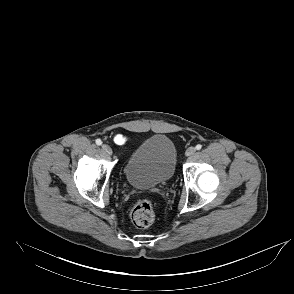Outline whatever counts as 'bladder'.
<instances>
[{"label":"bladder","instance_id":"31cf9c89","mask_svg":"<svg viewBox=\"0 0 294 294\" xmlns=\"http://www.w3.org/2000/svg\"><path fill=\"white\" fill-rule=\"evenodd\" d=\"M177 150L165 134H154L142 141L124 167L127 183L137 189H148L168 181L174 174Z\"/></svg>","mask_w":294,"mask_h":294}]
</instances>
